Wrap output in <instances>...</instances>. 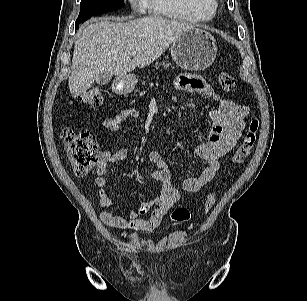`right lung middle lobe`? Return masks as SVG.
Here are the masks:
<instances>
[{
	"instance_id": "obj_1",
	"label": "right lung middle lobe",
	"mask_w": 307,
	"mask_h": 301,
	"mask_svg": "<svg viewBox=\"0 0 307 301\" xmlns=\"http://www.w3.org/2000/svg\"><path fill=\"white\" fill-rule=\"evenodd\" d=\"M124 5V0H81L80 13L76 20V27L93 15L103 14L119 9Z\"/></svg>"
}]
</instances>
